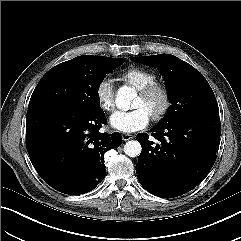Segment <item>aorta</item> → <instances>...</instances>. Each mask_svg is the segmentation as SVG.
Instances as JSON below:
<instances>
[{
  "label": "aorta",
  "mask_w": 241,
  "mask_h": 241,
  "mask_svg": "<svg viewBox=\"0 0 241 241\" xmlns=\"http://www.w3.org/2000/svg\"><path fill=\"white\" fill-rule=\"evenodd\" d=\"M135 97V91L129 86H122L118 89L116 94V105L119 109L124 111L129 110L131 101ZM142 147L136 140H130L124 145V152L129 157H137L141 153Z\"/></svg>",
  "instance_id": "1"
}]
</instances>
